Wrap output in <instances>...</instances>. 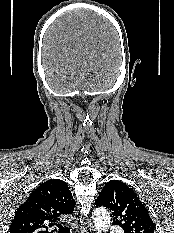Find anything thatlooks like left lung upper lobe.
<instances>
[{
  "instance_id": "obj_1",
  "label": "left lung upper lobe",
  "mask_w": 174,
  "mask_h": 233,
  "mask_svg": "<svg viewBox=\"0 0 174 233\" xmlns=\"http://www.w3.org/2000/svg\"><path fill=\"white\" fill-rule=\"evenodd\" d=\"M95 204L108 208L114 217L113 224L121 226L124 233H154L155 226L148 210L134 191L121 181L106 183Z\"/></svg>"
}]
</instances>
